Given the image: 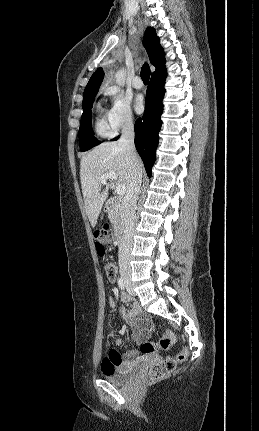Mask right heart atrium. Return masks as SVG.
<instances>
[{"mask_svg":"<svg viewBox=\"0 0 259 431\" xmlns=\"http://www.w3.org/2000/svg\"><path fill=\"white\" fill-rule=\"evenodd\" d=\"M104 93L111 99V104L106 112V119L112 133L131 127L134 124V116L130 103L113 87H105Z\"/></svg>","mask_w":259,"mask_h":431,"instance_id":"1","label":"right heart atrium"}]
</instances>
